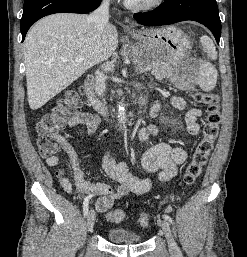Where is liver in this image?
Instances as JSON below:
<instances>
[{"mask_svg":"<svg viewBox=\"0 0 247 257\" xmlns=\"http://www.w3.org/2000/svg\"><path fill=\"white\" fill-rule=\"evenodd\" d=\"M117 46L115 26L108 23L99 32L88 15L57 13L39 20L23 48L30 108H41L90 67L111 57Z\"/></svg>","mask_w":247,"mask_h":257,"instance_id":"liver-1","label":"liver"}]
</instances>
